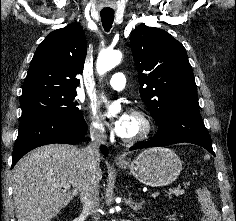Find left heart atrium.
Masks as SVG:
<instances>
[{"instance_id":"39dd6f15","label":"left heart atrium","mask_w":236,"mask_h":221,"mask_svg":"<svg viewBox=\"0 0 236 221\" xmlns=\"http://www.w3.org/2000/svg\"><path fill=\"white\" fill-rule=\"evenodd\" d=\"M130 118H131V114L125 111L121 112L115 117L112 123V126H113L114 131L119 136H122V137L125 136L128 130L129 124H130Z\"/></svg>"}]
</instances>
